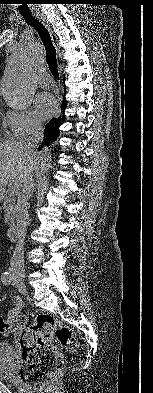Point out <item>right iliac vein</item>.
<instances>
[{
    "mask_svg": "<svg viewBox=\"0 0 153 393\" xmlns=\"http://www.w3.org/2000/svg\"><path fill=\"white\" fill-rule=\"evenodd\" d=\"M16 281L18 282V283H21V284H23V278L20 276V275H16Z\"/></svg>",
    "mask_w": 153,
    "mask_h": 393,
    "instance_id": "right-iliac-vein-1",
    "label": "right iliac vein"
}]
</instances>
